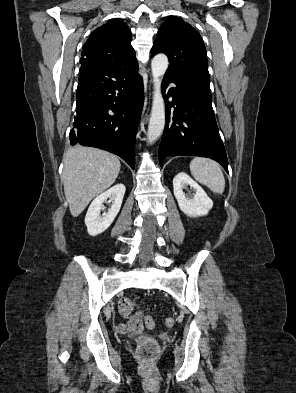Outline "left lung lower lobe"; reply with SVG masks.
Returning a JSON list of instances; mask_svg holds the SVG:
<instances>
[{"label": "left lung lower lobe", "instance_id": "obj_1", "mask_svg": "<svg viewBox=\"0 0 296 393\" xmlns=\"http://www.w3.org/2000/svg\"><path fill=\"white\" fill-rule=\"evenodd\" d=\"M176 87L165 96L166 125L159 146V162L168 156H203L219 162L228 173L225 148L211 104L209 83L178 81L165 74L163 95L169 83ZM172 96L173 101L168 98ZM174 110H171L172 106Z\"/></svg>", "mask_w": 296, "mask_h": 393}]
</instances>
